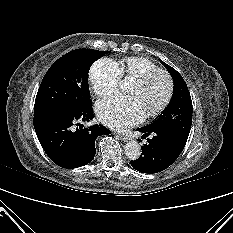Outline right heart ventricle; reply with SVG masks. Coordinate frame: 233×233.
Here are the masks:
<instances>
[{
    "mask_svg": "<svg viewBox=\"0 0 233 233\" xmlns=\"http://www.w3.org/2000/svg\"><path fill=\"white\" fill-rule=\"evenodd\" d=\"M121 77L137 78L144 73L158 69V66L148 58L145 57H128L116 64Z\"/></svg>",
    "mask_w": 233,
    "mask_h": 233,
    "instance_id": "right-heart-ventricle-1",
    "label": "right heart ventricle"
}]
</instances>
